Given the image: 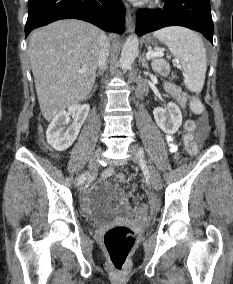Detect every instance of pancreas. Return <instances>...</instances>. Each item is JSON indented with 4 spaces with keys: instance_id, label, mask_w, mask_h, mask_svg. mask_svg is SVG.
I'll return each instance as SVG.
<instances>
[{
    "instance_id": "obj_1",
    "label": "pancreas",
    "mask_w": 233,
    "mask_h": 284,
    "mask_svg": "<svg viewBox=\"0 0 233 284\" xmlns=\"http://www.w3.org/2000/svg\"><path fill=\"white\" fill-rule=\"evenodd\" d=\"M152 65L155 71L161 72L163 68L167 66V63L163 59H158L156 57L152 58Z\"/></svg>"
}]
</instances>
